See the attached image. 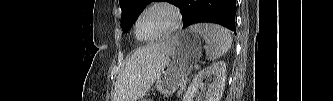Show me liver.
Segmentation results:
<instances>
[{"label":"liver","instance_id":"1","mask_svg":"<svg viewBox=\"0 0 333 101\" xmlns=\"http://www.w3.org/2000/svg\"><path fill=\"white\" fill-rule=\"evenodd\" d=\"M167 54L166 41L136 49L117 77L115 101H137L142 98L160 76Z\"/></svg>","mask_w":333,"mask_h":101}]
</instances>
